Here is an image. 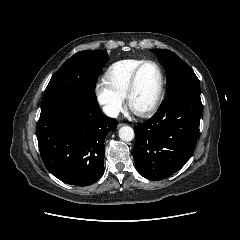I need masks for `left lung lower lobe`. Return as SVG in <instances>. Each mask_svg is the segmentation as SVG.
Here are the masks:
<instances>
[{
	"instance_id": "obj_1",
	"label": "left lung lower lobe",
	"mask_w": 240,
	"mask_h": 240,
	"mask_svg": "<svg viewBox=\"0 0 240 240\" xmlns=\"http://www.w3.org/2000/svg\"><path fill=\"white\" fill-rule=\"evenodd\" d=\"M201 109L200 92H179L167 98L150 119L134 127L133 156L143 177L162 180L191 158Z\"/></svg>"
}]
</instances>
